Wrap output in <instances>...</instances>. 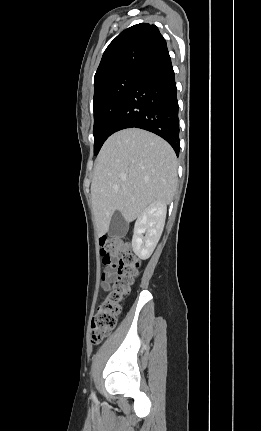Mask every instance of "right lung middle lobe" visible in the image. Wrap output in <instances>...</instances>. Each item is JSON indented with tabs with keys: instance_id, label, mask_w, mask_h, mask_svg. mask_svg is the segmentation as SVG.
Masks as SVG:
<instances>
[{
	"instance_id": "1",
	"label": "right lung middle lobe",
	"mask_w": 261,
	"mask_h": 431,
	"mask_svg": "<svg viewBox=\"0 0 261 431\" xmlns=\"http://www.w3.org/2000/svg\"><path fill=\"white\" fill-rule=\"evenodd\" d=\"M140 71H128L113 77L94 89V155L111 135L112 124Z\"/></svg>"
}]
</instances>
